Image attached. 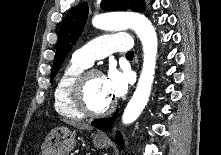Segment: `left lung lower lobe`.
<instances>
[{
	"label": "left lung lower lobe",
	"instance_id": "0a47b994",
	"mask_svg": "<svg viewBox=\"0 0 221 155\" xmlns=\"http://www.w3.org/2000/svg\"><path fill=\"white\" fill-rule=\"evenodd\" d=\"M115 119H116V116L110 117V118H104V119H97V120L92 121L91 124L98 129L107 130L114 123ZM116 140H117L118 144L121 147H123V141H122V137H121L120 133H117Z\"/></svg>",
	"mask_w": 221,
	"mask_h": 155
}]
</instances>
